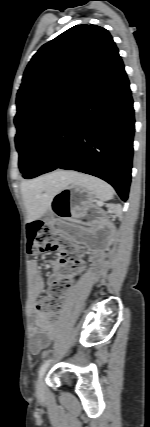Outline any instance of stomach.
Instances as JSON below:
<instances>
[{"label":"stomach","instance_id":"obj_1","mask_svg":"<svg viewBox=\"0 0 150 427\" xmlns=\"http://www.w3.org/2000/svg\"><path fill=\"white\" fill-rule=\"evenodd\" d=\"M93 198V192L73 181L55 194L50 209L61 219L77 221L91 207Z\"/></svg>","mask_w":150,"mask_h":427}]
</instances>
